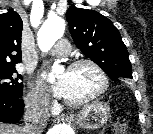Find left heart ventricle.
<instances>
[{"mask_svg": "<svg viewBox=\"0 0 153 134\" xmlns=\"http://www.w3.org/2000/svg\"><path fill=\"white\" fill-rule=\"evenodd\" d=\"M64 80V98L68 100H81L94 93L100 86V78L96 71L87 65L79 66L73 70H66L60 75Z\"/></svg>", "mask_w": 153, "mask_h": 134, "instance_id": "left-heart-ventricle-1", "label": "left heart ventricle"}]
</instances>
